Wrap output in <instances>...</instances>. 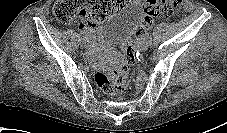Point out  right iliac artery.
<instances>
[{
  "mask_svg": "<svg viewBox=\"0 0 227 133\" xmlns=\"http://www.w3.org/2000/svg\"><path fill=\"white\" fill-rule=\"evenodd\" d=\"M79 35H80L81 40H82V37L84 38V33L82 31H80Z\"/></svg>",
  "mask_w": 227,
  "mask_h": 133,
  "instance_id": "1",
  "label": "right iliac artery"
}]
</instances>
